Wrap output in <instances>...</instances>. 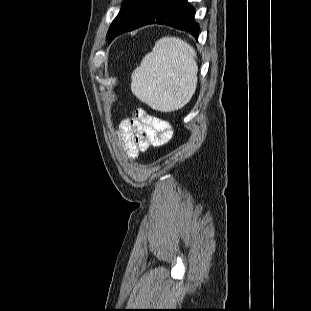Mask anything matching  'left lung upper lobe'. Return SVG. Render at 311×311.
<instances>
[{"instance_id":"5c2ea615","label":"left lung upper lobe","mask_w":311,"mask_h":311,"mask_svg":"<svg viewBox=\"0 0 311 311\" xmlns=\"http://www.w3.org/2000/svg\"><path fill=\"white\" fill-rule=\"evenodd\" d=\"M114 21H115V20H114ZM114 21H113V23L111 24V27H110V29H109V31H108L107 38H109V36L111 35L112 29H113Z\"/></svg>"}]
</instances>
